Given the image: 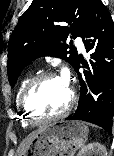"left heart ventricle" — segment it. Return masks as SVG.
I'll use <instances>...</instances> for the list:
<instances>
[{"label":"left heart ventricle","mask_w":114,"mask_h":156,"mask_svg":"<svg viewBox=\"0 0 114 156\" xmlns=\"http://www.w3.org/2000/svg\"><path fill=\"white\" fill-rule=\"evenodd\" d=\"M69 88L59 77L48 78L37 84L26 99L29 111L37 117L58 114L67 105Z\"/></svg>","instance_id":"obj_1"}]
</instances>
